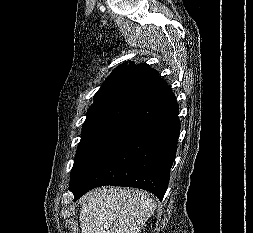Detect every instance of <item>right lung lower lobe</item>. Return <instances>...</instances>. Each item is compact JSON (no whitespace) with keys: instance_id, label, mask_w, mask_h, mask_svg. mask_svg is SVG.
I'll list each match as a JSON object with an SVG mask.
<instances>
[{"instance_id":"1","label":"right lung lower lobe","mask_w":253,"mask_h":233,"mask_svg":"<svg viewBox=\"0 0 253 233\" xmlns=\"http://www.w3.org/2000/svg\"><path fill=\"white\" fill-rule=\"evenodd\" d=\"M179 108L165 83L137 101L71 174L74 199L104 185L167 190L180 132Z\"/></svg>"}]
</instances>
